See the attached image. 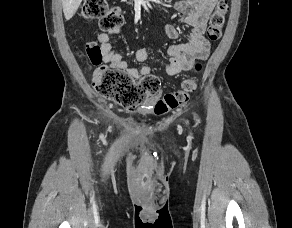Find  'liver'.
Masks as SVG:
<instances>
[{
	"label": "liver",
	"instance_id": "6515ba94",
	"mask_svg": "<svg viewBox=\"0 0 292 228\" xmlns=\"http://www.w3.org/2000/svg\"><path fill=\"white\" fill-rule=\"evenodd\" d=\"M82 0H62L63 12L66 20H70L76 13Z\"/></svg>",
	"mask_w": 292,
	"mask_h": 228
}]
</instances>
